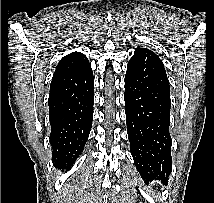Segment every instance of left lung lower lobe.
<instances>
[{"label":"left lung lower lobe","instance_id":"left-lung-lower-lobe-1","mask_svg":"<svg viewBox=\"0 0 214 203\" xmlns=\"http://www.w3.org/2000/svg\"><path fill=\"white\" fill-rule=\"evenodd\" d=\"M125 106L130 151L146 181L167 183L172 170L170 85L163 62L151 50L137 48L127 65Z\"/></svg>","mask_w":214,"mask_h":203}]
</instances>
